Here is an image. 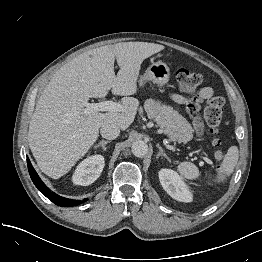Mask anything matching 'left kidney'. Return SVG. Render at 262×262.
Masks as SVG:
<instances>
[{
  "mask_svg": "<svg viewBox=\"0 0 262 262\" xmlns=\"http://www.w3.org/2000/svg\"><path fill=\"white\" fill-rule=\"evenodd\" d=\"M159 180L163 189L175 200L191 202L192 194L180 176L171 169H161Z\"/></svg>",
  "mask_w": 262,
  "mask_h": 262,
  "instance_id": "left-kidney-1",
  "label": "left kidney"
}]
</instances>
